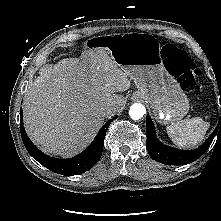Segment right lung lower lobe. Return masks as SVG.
I'll return each instance as SVG.
<instances>
[{
	"label": "right lung lower lobe",
	"mask_w": 221,
	"mask_h": 221,
	"mask_svg": "<svg viewBox=\"0 0 221 221\" xmlns=\"http://www.w3.org/2000/svg\"><path fill=\"white\" fill-rule=\"evenodd\" d=\"M112 121L113 119H110L102 126L93 142L82 153L70 159H56L43 154L29 139L23 126L22 108H20L21 137L29 154L52 172L67 176L84 173L99 161L106 131Z\"/></svg>",
	"instance_id": "right-lung-lower-lobe-1"
}]
</instances>
